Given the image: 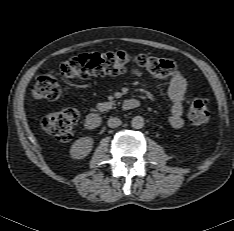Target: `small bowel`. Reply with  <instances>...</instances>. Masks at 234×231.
<instances>
[{
    "instance_id": "1",
    "label": "small bowel",
    "mask_w": 234,
    "mask_h": 231,
    "mask_svg": "<svg viewBox=\"0 0 234 231\" xmlns=\"http://www.w3.org/2000/svg\"><path fill=\"white\" fill-rule=\"evenodd\" d=\"M135 76L141 75L139 70H133ZM187 85L186 80L180 72H176L170 80L168 87V97L172 103L171 115L169 117L170 125L175 129H180L183 124L184 103L186 100Z\"/></svg>"
}]
</instances>
